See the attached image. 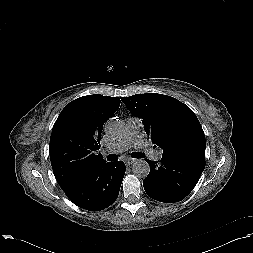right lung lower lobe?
<instances>
[{"label":"right lung lower lobe","instance_id":"98d812e1","mask_svg":"<svg viewBox=\"0 0 253 253\" xmlns=\"http://www.w3.org/2000/svg\"><path fill=\"white\" fill-rule=\"evenodd\" d=\"M125 169L122 161L105 162L97 169L75 179L62 190L80 208L100 211L117 199Z\"/></svg>","mask_w":253,"mask_h":253}]
</instances>
